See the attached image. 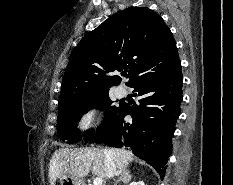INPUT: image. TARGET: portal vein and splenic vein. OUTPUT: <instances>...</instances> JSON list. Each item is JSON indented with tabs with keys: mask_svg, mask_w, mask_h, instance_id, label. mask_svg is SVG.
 <instances>
[{
	"mask_svg": "<svg viewBox=\"0 0 233 185\" xmlns=\"http://www.w3.org/2000/svg\"><path fill=\"white\" fill-rule=\"evenodd\" d=\"M103 179L100 177H97L93 180V185H102Z\"/></svg>",
	"mask_w": 233,
	"mask_h": 185,
	"instance_id": "1",
	"label": "portal vein and splenic vein"
}]
</instances>
